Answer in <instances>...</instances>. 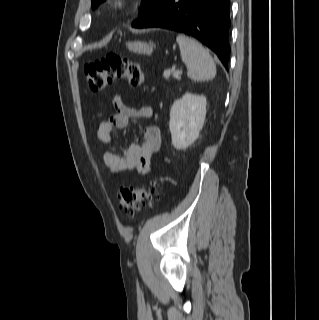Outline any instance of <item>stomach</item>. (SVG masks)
<instances>
[{
	"instance_id": "1",
	"label": "stomach",
	"mask_w": 319,
	"mask_h": 320,
	"mask_svg": "<svg viewBox=\"0 0 319 320\" xmlns=\"http://www.w3.org/2000/svg\"><path fill=\"white\" fill-rule=\"evenodd\" d=\"M127 48L138 54H150L153 51V47L149 46L146 42L133 41L126 43Z\"/></svg>"
}]
</instances>
